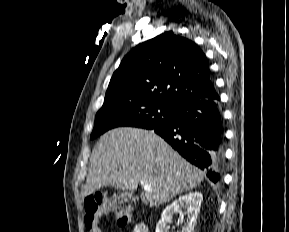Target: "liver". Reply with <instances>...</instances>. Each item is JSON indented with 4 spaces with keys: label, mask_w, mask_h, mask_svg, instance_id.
<instances>
[{
    "label": "liver",
    "mask_w": 289,
    "mask_h": 232,
    "mask_svg": "<svg viewBox=\"0 0 289 232\" xmlns=\"http://www.w3.org/2000/svg\"><path fill=\"white\" fill-rule=\"evenodd\" d=\"M203 174L153 131L121 127L108 131L90 157L83 196L104 186L134 190L141 183L151 187L141 200L151 207L197 187Z\"/></svg>",
    "instance_id": "obj_1"
}]
</instances>
